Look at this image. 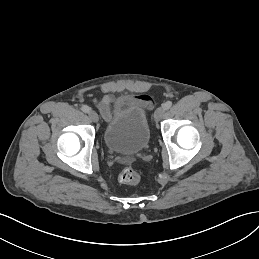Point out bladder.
Instances as JSON below:
<instances>
[{
	"label": "bladder",
	"instance_id": "bladder-1",
	"mask_svg": "<svg viewBox=\"0 0 259 259\" xmlns=\"http://www.w3.org/2000/svg\"><path fill=\"white\" fill-rule=\"evenodd\" d=\"M150 141V128L145 109L136 103L118 107L104 130L109 151L133 155L144 151Z\"/></svg>",
	"mask_w": 259,
	"mask_h": 259
}]
</instances>
